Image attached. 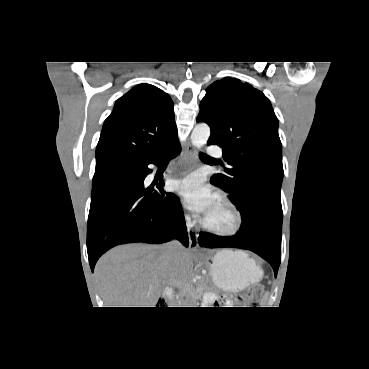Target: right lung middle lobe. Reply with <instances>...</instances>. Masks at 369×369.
Listing matches in <instances>:
<instances>
[{"label": "right lung middle lobe", "instance_id": "right-lung-middle-lobe-1", "mask_svg": "<svg viewBox=\"0 0 369 369\" xmlns=\"http://www.w3.org/2000/svg\"><path fill=\"white\" fill-rule=\"evenodd\" d=\"M124 162H109L96 164L95 174L93 177V185L101 180L107 174L113 172L115 169L120 167Z\"/></svg>", "mask_w": 369, "mask_h": 369}]
</instances>
